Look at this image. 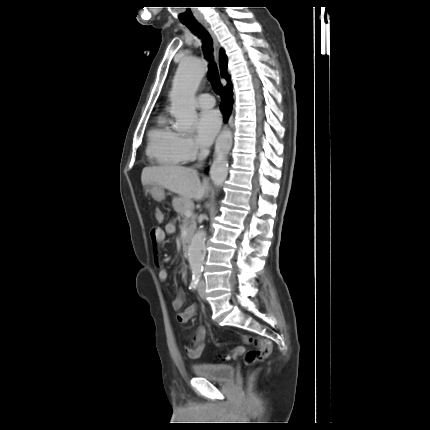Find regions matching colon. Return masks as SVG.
Returning a JSON list of instances; mask_svg holds the SVG:
<instances>
[{"instance_id":"1","label":"colon","mask_w":430,"mask_h":430,"mask_svg":"<svg viewBox=\"0 0 430 430\" xmlns=\"http://www.w3.org/2000/svg\"><path fill=\"white\" fill-rule=\"evenodd\" d=\"M154 217L156 221H163V212L159 208L154 209ZM243 341L246 344L253 345V349L246 353V360L249 364L261 362L266 359L271 353V342L266 338L244 336ZM244 354V349L241 346L235 347L231 353L223 356L224 359H231Z\"/></svg>"}]
</instances>
